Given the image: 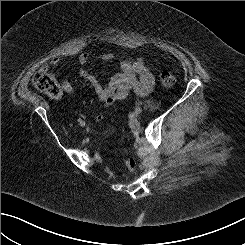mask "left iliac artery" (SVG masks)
Returning a JSON list of instances; mask_svg holds the SVG:
<instances>
[{"instance_id":"1","label":"left iliac artery","mask_w":245,"mask_h":245,"mask_svg":"<svg viewBox=\"0 0 245 245\" xmlns=\"http://www.w3.org/2000/svg\"><path fill=\"white\" fill-rule=\"evenodd\" d=\"M143 103L141 101H138V105H142Z\"/></svg>"}]
</instances>
